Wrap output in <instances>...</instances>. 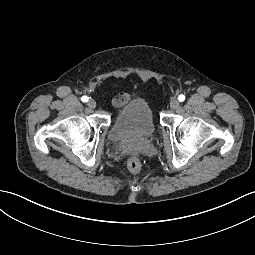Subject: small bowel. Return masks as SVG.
<instances>
[{
    "label": "small bowel",
    "mask_w": 255,
    "mask_h": 255,
    "mask_svg": "<svg viewBox=\"0 0 255 255\" xmlns=\"http://www.w3.org/2000/svg\"><path fill=\"white\" fill-rule=\"evenodd\" d=\"M129 97L130 96L128 94H121V95H119L113 101L114 106H116V107L121 106L123 103H125L129 99Z\"/></svg>",
    "instance_id": "1"
}]
</instances>
